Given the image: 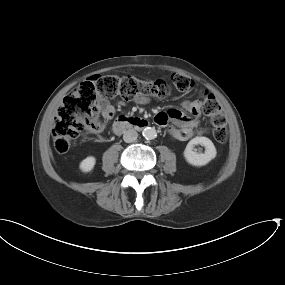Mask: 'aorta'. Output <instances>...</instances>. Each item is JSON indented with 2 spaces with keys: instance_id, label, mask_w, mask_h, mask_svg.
<instances>
[{
  "instance_id": "1",
  "label": "aorta",
  "mask_w": 285,
  "mask_h": 285,
  "mask_svg": "<svg viewBox=\"0 0 285 285\" xmlns=\"http://www.w3.org/2000/svg\"><path fill=\"white\" fill-rule=\"evenodd\" d=\"M142 134L148 140H152V139H155L157 137V132H156L155 128H153V127L144 128Z\"/></svg>"
}]
</instances>
